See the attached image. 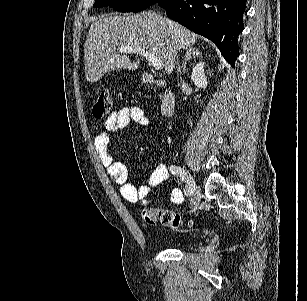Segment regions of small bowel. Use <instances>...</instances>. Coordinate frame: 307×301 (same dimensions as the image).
<instances>
[{"mask_svg": "<svg viewBox=\"0 0 307 301\" xmlns=\"http://www.w3.org/2000/svg\"><path fill=\"white\" fill-rule=\"evenodd\" d=\"M135 123L141 126L148 125V119L144 111L138 106H126L113 111L104 122V130L100 131L94 140L95 149L100 157L108 175L118 186L120 194L129 202H141L147 204L151 190L169 177V171L164 163H160L153 170L146 182L135 187L127 182V169L123 163L115 162L110 147V133L121 130L129 124ZM172 204L183 202L182 191L174 188L169 196Z\"/></svg>", "mask_w": 307, "mask_h": 301, "instance_id": "c3829d8e", "label": "small bowel"}]
</instances>
